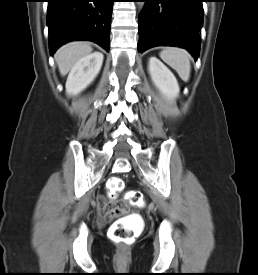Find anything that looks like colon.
<instances>
[{
    "mask_svg": "<svg viewBox=\"0 0 258 275\" xmlns=\"http://www.w3.org/2000/svg\"><path fill=\"white\" fill-rule=\"evenodd\" d=\"M107 188L111 198L114 199L115 196L124 188V182L119 177H112L108 182ZM126 200L136 206H143L145 204L144 196L140 191H129L126 194ZM125 212L126 209L124 207L116 208L109 205L102 211V215L106 219H112L116 214H124ZM108 234L112 240L124 243H131L134 238L133 231L125 226L121 220L115 221L110 226Z\"/></svg>",
    "mask_w": 258,
    "mask_h": 275,
    "instance_id": "colon-1",
    "label": "colon"
}]
</instances>
